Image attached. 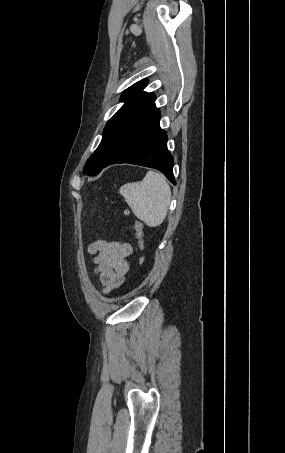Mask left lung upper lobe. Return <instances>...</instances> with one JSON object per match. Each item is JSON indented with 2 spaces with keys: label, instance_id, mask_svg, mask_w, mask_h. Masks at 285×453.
<instances>
[{
  "label": "left lung upper lobe",
  "instance_id": "obj_1",
  "mask_svg": "<svg viewBox=\"0 0 285 453\" xmlns=\"http://www.w3.org/2000/svg\"><path fill=\"white\" fill-rule=\"evenodd\" d=\"M147 83V79L141 80L124 91L121 96V101L124 102V105L105 126L98 148L85 164L83 169L85 174L91 176L101 171L106 159L121 135L155 101L156 96L154 93L143 92Z\"/></svg>",
  "mask_w": 285,
  "mask_h": 453
}]
</instances>
